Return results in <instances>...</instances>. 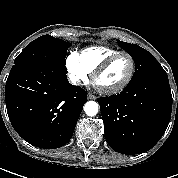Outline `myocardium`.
I'll list each match as a JSON object with an SVG mask.
<instances>
[{"mask_svg": "<svg viewBox=\"0 0 178 178\" xmlns=\"http://www.w3.org/2000/svg\"><path fill=\"white\" fill-rule=\"evenodd\" d=\"M122 56H127L131 62V68H130V72L127 76V78L118 86L113 87V88H109V89H104L101 88L97 85V78L117 59H119ZM135 70H136V62L135 59L133 57V55H131L128 52H124L121 51L119 53H116L114 55L109 56L108 58H106L103 62H101L97 68L92 72V82L94 84L95 87H97L99 89V91L105 95H113V94H117L121 91H123L132 81L134 74H135Z\"/></svg>", "mask_w": 178, "mask_h": 178, "instance_id": "1", "label": "myocardium"}]
</instances>
